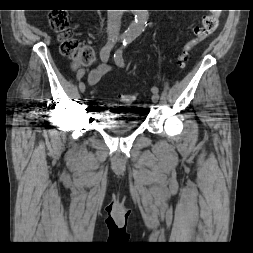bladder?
I'll use <instances>...</instances> for the list:
<instances>
[{
	"instance_id": "1",
	"label": "bladder",
	"mask_w": 253,
	"mask_h": 253,
	"mask_svg": "<svg viewBox=\"0 0 253 253\" xmlns=\"http://www.w3.org/2000/svg\"><path fill=\"white\" fill-rule=\"evenodd\" d=\"M116 111H102L100 114V126L103 129L115 133L131 132L139 128V121L128 114L125 107H115Z\"/></svg>"
}]
</instances>
